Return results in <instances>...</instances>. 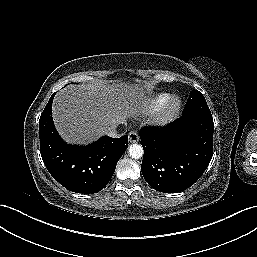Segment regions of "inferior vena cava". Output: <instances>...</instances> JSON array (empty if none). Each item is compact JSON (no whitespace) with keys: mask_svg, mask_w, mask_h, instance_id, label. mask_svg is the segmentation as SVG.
I'll return each instance as SVG.
<instances>
[{"mask_svg":"<svg viewBox=\"0 0 257 257\" xmlns=\"http://www.w3.org/2000/svg\"><path fill=\"white\" fill-rule=\"evenodd\" d=\"M105 134L109 137L117 138L119 135L117 134L116 128L108 129L105 131Z\"/></svg>","mask_w":257,"mask_h":257,"instance_id":"602c4592","label":"inferior vena cava"}]
</instances>
